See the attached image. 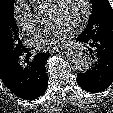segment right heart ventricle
<instances>
[{
  "label": "right heart ventricle",
  "mask_w": 113,
  "mask_h": 113,
  "mask_svg": "<svg viewBox=\"0 0 113 113\" xmlns=\"http://www.w3.org/2000/svg\"><path fill=\"white\" fill-rule=\"evenodd\" d=\"M33 2H36L38 4H48V5H50L53 2V0H33Z\"/></svg>",
  "instance_id": "1"
}]
</instances>
